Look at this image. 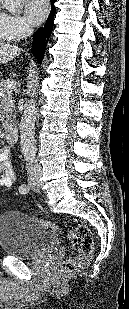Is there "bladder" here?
Returning a JSON list of instances; mask_svg holds the SVG:
<instances>
[{
	"instance_id": "bladder-1",
	"label": "bladder",
	"mask_w": 129,
	"mask_h": 309,
	"mask_svg": "<svg viewBox=\"0 0 129 309\" xmlns=\"http://www.w3.org/2000/svg\"><path fill=\"white\" fill-rule=\"evenodd\" d=\"M56 233L40 220L19 212L0 215V247L11 256L33 259L56 249Z\"/></svg>"
}]
</instances>
